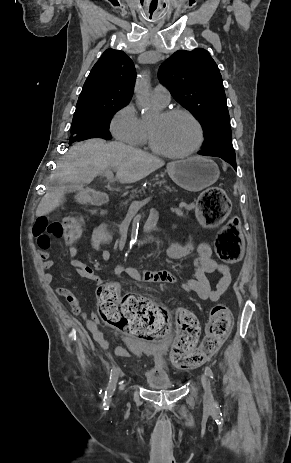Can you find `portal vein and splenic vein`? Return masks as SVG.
<instances>
[{
    "mask_svg": "<svg viewBox=\"0 0 291 463\" xmlns=\"http://www.w3.org/2000/svg\"><path fill=\"white\" fill-rule=\"evenodd\" d=\"M105 175L108 179H111L113 177L112 172H106ZM143 204L144 202L142 201H134L132 202L131 207L138 210L143 206Z\"/></svg>",
    "mask_w": 291,
    "mask_h": 463,
    "instance_id": "18ae733b",
    "label": "portal vein and splenic vein"
}]
</instances>
